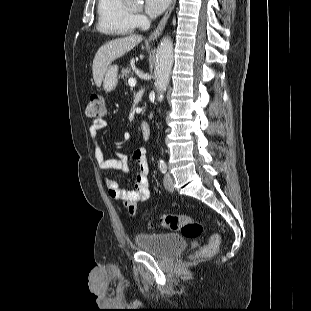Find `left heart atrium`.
Segmentation results:
<instances>
[{"label": "left heart atrium", "mask_w": 311, "mask_h": 311, "mask_svg": "<svg viewBox=\"0 0 311 311\" xmlns=\"http://www.w3.org/2000/svg\"><path fill=\"white\" fill-rule=\"evenodd\" d=\"M171 0H145V10L150 16L162 13L169 5Z\"/></svg>", "instance_id": "left-heart-atrium-1"}]
</instances>
